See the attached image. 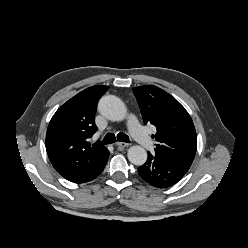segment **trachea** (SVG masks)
I'll use <instances>...</instances> for the list:
<instances>
[{"instance_id":"obj_1","label":"trachea","mask_w":248,"mask_h":248,"mask_svg":"<svg viewBox=\"0 0 248 248\" xmlns=\"http://www.w3.org/2000/svg\"><path fill=\"white\" fill-rule=\"evenodd\" d=\"M116 139L119 142L130 143L129 137L125 133H118L116 137H115L114 134L108 133L104 137L102 143L103 144H112V143H114L116 141Z\"/></svg>"}]
</instances>
